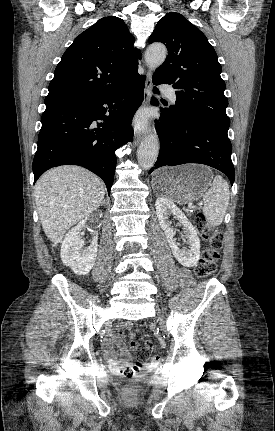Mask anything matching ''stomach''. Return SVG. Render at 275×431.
<instances>
[{
	"mask_svg": "<svg viewBox=\"0 0 275 431\" xmlns=\"http://www.w3.org/2000/svg\"><path fill=\"white\" fill-rule=\"evenodd\" d=\"M210 168L200 164L164 167L154 172L152 187L179 204L198 200L211 186Z\"/></svg>",
	"mask_w": 275,
	"mask_h": 431,
	"instance_id": "1",
	"label": "stomach"
}]
</instances>
